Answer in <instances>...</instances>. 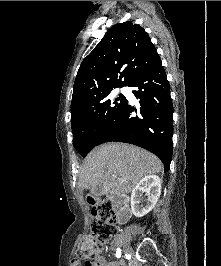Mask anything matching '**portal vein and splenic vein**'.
Segmentation results:
<instances>
[{"label": "portal vein and splenic vein", "instance_id": "18ae733b", "mask_svg": "<svg viewBox=\"0 0 221 266\" xmlns=\"http://www.w3.org/2000/svg\"><path fill=\"white\" fill-rule=\"evenodd\" d=\"M115 178H116V176H114ZM119 181H125V180H123V179H118Z\"/></svg>", "mask_w": 221, "mask_h": 266}]
</instances>
